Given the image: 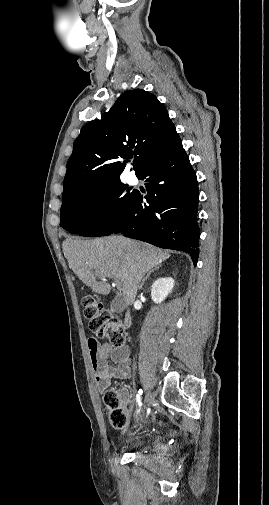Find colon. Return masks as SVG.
I'll return each instance as SVG.
<instances>
[{"label": "colon", "instance_id": "5ec220e1", "mask_svg": "<svg viewBox=\"0 0 269 505\" xmlns=\"http://www.w3.org/2000/svg\"><path fill=\"white\" fill-rule=\"evenodd\" d=\"M83 312L89 322L90 330L99 338L108 340L113 346L121 347L124 343V325L121 320L107 311L99 298L87 295L82 300ZM104 401L109 408L110 422L114 428L122 429L126 425L127 417L118 405L113 394H107Z\"/></svg>", "mask_w": 269, "mask_h": 505}]
</instances>
